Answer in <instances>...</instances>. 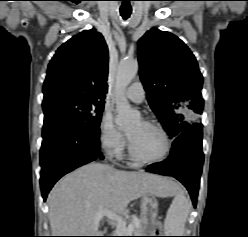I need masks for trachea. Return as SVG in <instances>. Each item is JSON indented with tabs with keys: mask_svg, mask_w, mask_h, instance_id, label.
I'll return each instance as SVG.
<instances>
[{
	"mask_svg": "<svg viewBox=\"0 0 248 237\" xmlns=\"http://www.w3.org/2000/svg\"><path fill=\"white\" fill-rule=\"evenodd\" d=\"M132 10L131 9H121L120 14L124 20L128 19L130 17Z\"/></svg>",
	"mask_w": 248,
	"mask_h": 237,
	"instance_id": "3493384b",
	"label": "trachea"
}]
</instances>
